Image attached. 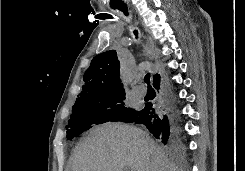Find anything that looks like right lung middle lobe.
<instances>
[{"instance_id": "right-lung-middle-lobe-1", "label": "right lung middle lobe", "mask_w": 245, "mask_h": 171, "mask_svg": "<svg viewBox=\"0 0 245 171\" xmlns=\"http://www.w3.org/2000/svg\"><path fill=\"white\" fill-rule=\"evenodd\" d=\"M124 99L125 93H119L76 100L67 127V138L71 140L92 126L105 122H131L138 111L124 107Z\"/></svg>"}]
</instances>
